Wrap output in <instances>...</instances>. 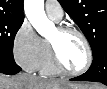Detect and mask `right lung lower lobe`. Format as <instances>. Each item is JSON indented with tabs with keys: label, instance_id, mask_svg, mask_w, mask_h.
Segmentation results:
<instances>
[{
	"label": "right lung lower lobe",
	"instance_id": "obj_1",
	"mask_svg": "<svg viewBox=\"0 0 107 89\" xmlns=\"http://www.w3.org/2000/svg\"><path fill=\"white\" fill-rule=\"evenodd\" d=\"M21 68L18 65H10L5 62L0 61V73H4L7 75H13L18 73Z\"/></svg>",
	"mask_w": 107,
	"mask_h": 89
}]
</instances>
